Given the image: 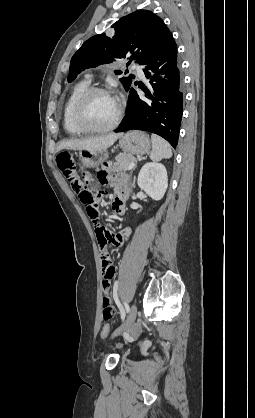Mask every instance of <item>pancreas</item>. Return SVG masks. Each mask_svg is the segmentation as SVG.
<instances>
[{"label": "pancreas", "instance_id": "1", "mask_svg": "<svg viewBox=\"0 0 255 418\" xmlns=\"http://www.w3.org/2000/svg\"><path fill=\"white\" fill-rule=\"evenodd\" d=\"M116 162L114 164V171L119 172L122 170H126L131 163L136 162V158L129 154H120L115 158Z\"/></svg>", "mask_w": 255, "mask_h": 418}]
</instances>
